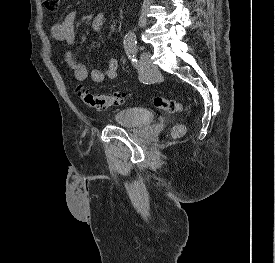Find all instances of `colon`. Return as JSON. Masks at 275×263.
Returning a JSON list of instances; mask_svg holds the SVG:
<instances>
[{
  "instance_id": "colon-1",
  "label": "colon",
  "mask_w": 275,
  "mask_h": 263,
  "mask_svg": "<svg viewBox=\"0 0 275 263\" xmlns=\"http://www.w3.org/2000/svg\"><path fill=\"white\" fill-rule=\"evenodd\" d=\"M61 0H43L44 6L49 11H56L59 8ZM77 96L88 106L93 108L106 109L111 107H116L127 103L130 99L128 94H94L82 86H77L75 89ZM154 105L156 108L168 113L174 114L182 110V103L175 99H168L157 97L154 100ZM185 126L183 124L175 125L171 130V137L178 138L185 133Z\"/></svg>"
}]
</instances>
